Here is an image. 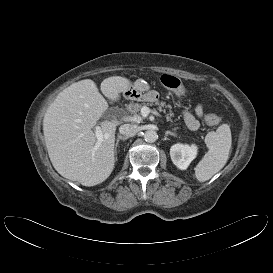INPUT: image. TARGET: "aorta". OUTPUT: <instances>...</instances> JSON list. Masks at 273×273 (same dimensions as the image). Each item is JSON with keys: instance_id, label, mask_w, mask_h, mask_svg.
<instances>
[{"instance_id": "1", "label": "aorta", "mask_w": 273, "mask_h": 273, "mask_svg": "<svg viewBox=\"0 0 273 273\" xmlns=\"http://www.w3.org/2000/svg\"><path fill=\"white\" fill-rule=\"evenodd\" d=\"M158 135L154 130H148L144 133V139L146 142L153 143L157 140Z\"/></svg>"}]
</instances>
